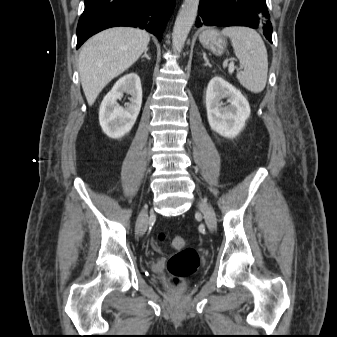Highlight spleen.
Listing matches in <instances>:
<instances>
[{
    "mask_svg": "<svg viewBox=\"0 0 337 337\" xmlns=\"http://www.w3.org/2000/svg\"><path fill=\"white\" fill-rule=\"evenodd\" d=\"M221 34L231 39L243 71L237 73L240 84L252 93H260L267 82L268 55L261 36L249 27H226Z\"/></svg>",
    "mask_w": 337,
    "mask_h": 337,
    "instance_id": "obj_1",
    "label": "spleen"
}]
</instances>
